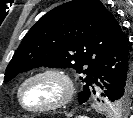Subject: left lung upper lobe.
<instances>
[{"instance_id": "5c2ea615", "label": "left lung upper lobe", "mask_w": 133, "mask_h": 118, "mask_svg": "<svg viewBox=\"0 0 133 118\" xmlns=\"http://www.w3.org/2000/svg\"><path fill=\"white\" fill-rule=\"evenodd\" d=\"M121 29L118 21L99 0H72L46 13L25 35L6 68L4 82L35 67H72L85 86L79 103L90 95L92 73L103 53ZM110 113H125L130 106L126 95L113 103L97 99Z\"/></svg>"}]
</instances>
